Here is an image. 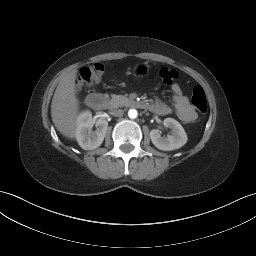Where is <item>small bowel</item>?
<instances>
[{
    "label": "small bowel",
    "instance_id": "1",
    "mask_svg": "<svg viewBox=\"0 0 256 256\" xmlns=\"http://www.w3.org/2000/svg\"><path fill=\"white\" fill-rule=\"evenodd\" d=\"M171 92L173 106L178 118L185 123L193 122L197 114L193 106L189 103L187 96L183 94L179 84H173ZM149 106V109L158 115L165 116L171 113V108L160 101H155L149 104Z\"/></svg>",
    "mask_w": 256,
    "mask_h": 256
}]
</instances>
